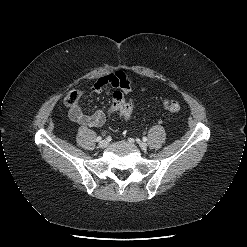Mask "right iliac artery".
<instances>
[{
	"mask_svg": "<svg viewBox=\"0 0 247 247\" xmlns=\"http://www.w3.org/2000/svg\"><path fill=\"white\" fill-rule=\"evenodd\" d=\"M101 139H102V137H101V136H98V137L96 138V141L99 142V141H101Z\"/></svg>",
	"mask_w": 247,
	"mask_h": 247,
	"instance_id": "82829eb1",
	"label": "right iliac artery"
}]
</instances>
